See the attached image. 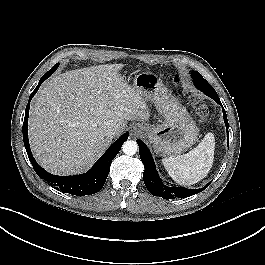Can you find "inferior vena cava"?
I'll return each mask as SVG.
<instances>
[{
  "instance_id": "inferior-vena-cava-1",
  "label": "inferior vena cava",
  "mask_w": 265,
  "mask_h": 265,
  "mask_svg": "<svg viewBox=\"0 0 265 265\" xmlns=\"http://www.w3.org/2000/svg\"><path fill=\"white\" fill-rule=\"evenodd\" d=\"M107 135H108L109 137H113V136H115V135H116V131H115V129H114V128H109V129L107 130Z\"/></svg>"
}]
</instances>
